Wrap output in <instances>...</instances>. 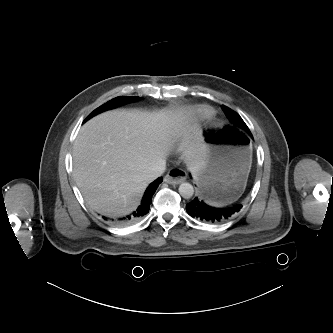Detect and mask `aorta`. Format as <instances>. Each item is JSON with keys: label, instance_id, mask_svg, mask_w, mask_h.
I'll use <instances>...</instances> for the list:
<instances>
[{"label": "aorta", "instance_id": "762f6f07", "mask_svg": "<svg viewBox=\"0 0 333 333\" xmlns=\"http://www.w3.org/2000/svg\"><path fill=\"white\" fill-rule=\"evenodd\" d=\"M179 193L183 198L189 199L194 194V188L190 183H181L179 186Z\"/></svg>", "mask_w": 333, "mask_h": 333}]
</instances>
